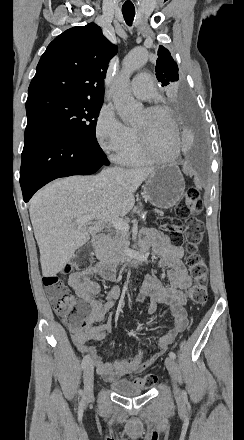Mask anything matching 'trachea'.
Returning <instances> with one entry per match:
<instances>
[{
	"label": "trachea",
	"instance_id": "trachea-1",
	"mask_svg": "<svg viewBox=\"0 0 244 440\" xmlns=\"http://www.w3.org/2000/svg\"><path fill=\"white\" fill-rule=\"evenodd\" d=\"M122 14L124 16L127 25L131 26L135 16V10L131 8H122Z\"/></svg>",
	"mask_w": 244,
	"mask_h": 440
}]
</instances>
